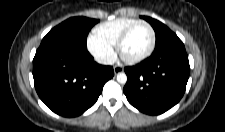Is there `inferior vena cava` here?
<instances>
[{
  "mask_svg": "<svg viewBox=\"0 0 225 132\" xmlns=\"http://www.w3.org/2000/svg\"><path fill=\"white\" fill-rule=\"evenodd\" d=\"M96 61L100 64L112 65L115 62V57L98 58Z\"/></svg>",
  "mask_w": 225,
  "mask_h": 132,
  "instance_id": "obj_1",
  "label": "inferior vena cava"
}]
</instances>
